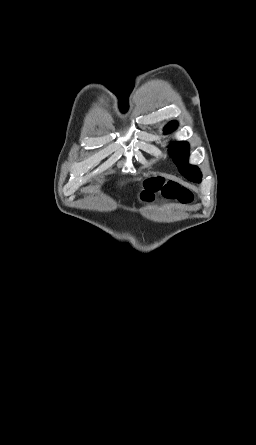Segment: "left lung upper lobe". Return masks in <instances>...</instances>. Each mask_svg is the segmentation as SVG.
I'll return each instance as SVG.
<instances>
[{
    "label": "left lung upper lobe",
    "instance_id": "left-lung-upper-lobe-1",
    "mask_svg": "<svg viewBox=\"0 0 256 445\" xmlns=\"http://www.w3.org/2000/svg\"><path fill=\"white\" fill-rule=\"evenodd\" d=\"M177 123L172 121L168 123L164 129V134L174 131ZM169 152L174 158L179 171L190 181L200 182L202 174L198 167L189 165L187 160L189 156V144L187 142L174 143L169 146Z\"/></svg>",
    "mask_w": 256,
    "mask_h": 445
}]
</instances>
